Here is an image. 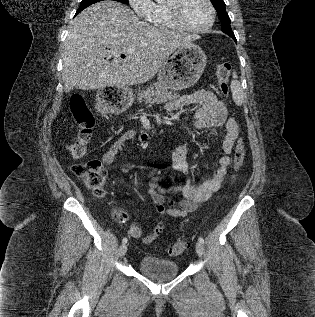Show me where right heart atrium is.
Here are the masks:
<instances>
[{"label":"right heart atrium","instance_id":"right-heart-atrium-1","mask_svg":"<svg viewBox=\"0 0 315 317\" xmlns=\"http://www.w3.org/2000/svg\"><path fill=\"white\" fill-rule=\"evenodd\" d=\"M134 12L145 20H150L155 11V3L152 0H128Z\"/></svg>","mask_w":315,"mask_h":317}]
</instances>
